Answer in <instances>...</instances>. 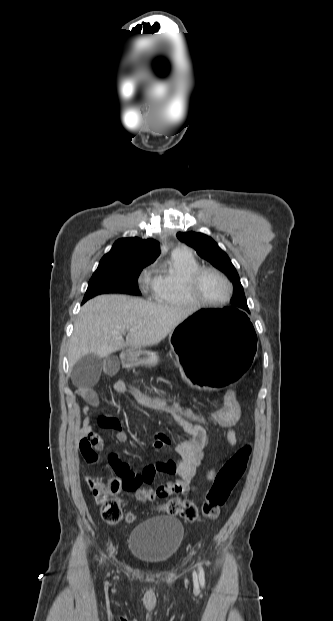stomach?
<instances>
[{
    "mask_svg": "<svg viewBox=\"0 0 333 621\" xmlns=\"http://www.w3.org/2000/svg\"><path fill=\"white\" fill-rule=\"evenodd\" d=\"M254 333L244 313L228 307L202 309L184 314L169 334V341L178 351L180 372L186 376L193 373L189 384L206 391H223L239 385L252 368ZM122 358L128 365L161 363L159 356L143 349L128 348ZM181 387L186 389L188 384L183 382Z\"/></svg>",
    "mask_w": 333,
    "mask_h": 621,
    "instance_id": "obj_1",
    "label": "stomach"
}]
</instances>
